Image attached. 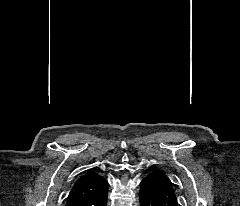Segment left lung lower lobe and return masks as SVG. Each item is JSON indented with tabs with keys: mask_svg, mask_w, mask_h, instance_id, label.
I'll list each match as a JSON object with an SVG mask.
<instances>
[{
	"mask_svg": "<svg viewBox=\"0 0 240 206\" xmlns=\"http://www.w3.org/2000/svg\"><path fill=\"white\" fill-rule=\"evenodd\" d=\"M140 187V206H180L174 184L161 170H153Z\"/></svg>",
	"mask_w": 240,
	"mask_h": 206,
	"instance_id": "left-lung-lower-lobe-1",
	"label": "left lung lower lobe"
}]
</instances>
